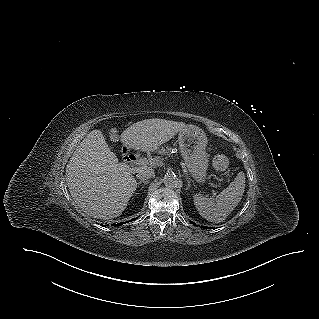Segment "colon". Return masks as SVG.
I'll list each match as a JSON object with an SVG mask.
<instances>
[{"mask_svg": "<svg viewBox=\"0 0 319 319\" xmlns=\"http://www.w3.org/2000/svg\"><path fill=\"white\" fill-rule=\"evenodd\" d=\"M120 136V131L116 127H108L104 131V138L109 143H114ZM212 165L217 170L223 171L227 166V159L225 156L218 154L212 160Z\"/></svg>", "mask_w": 319, "mask_h": 319, "instance_id": "obj_1", "label": "colon"}]
</instances>
